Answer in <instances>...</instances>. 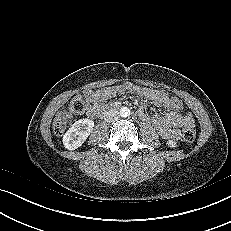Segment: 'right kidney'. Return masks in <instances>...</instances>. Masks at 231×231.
Wrapping results in <instances>:
<instances>
[{
  "label": "right kidney",
  "mask_w": 231,
  "mask_h": 231,
  "mask_svg": "<svg viewBox=\"0 0 231 231\" xmlns=\"http://www.w3.org/2000/svg\"><path fill=\"white\" fill-rule=\"evenodd\" d=\"M94 121L88 118L76 121L64 134L63 144L68 150H75L80 147L91 134Z\"/></svg>",
  "instance_id": "1"
}]
</instances>
